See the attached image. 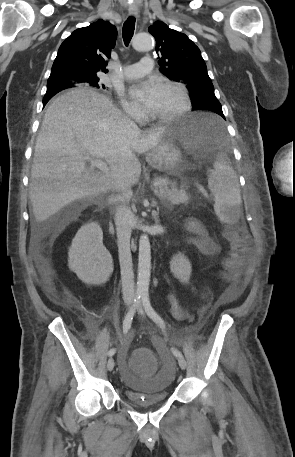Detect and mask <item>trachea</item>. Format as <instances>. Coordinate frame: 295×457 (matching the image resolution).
<instances>
[{"mask_svg": "<svg viewBox=\"0 0 295 457\" xmlns=\"http://www.w3.org/2000/svg\"><path fill=\"white\" fill-rule=\"evenodd\" d=\"M134 30H135V17L130 16L124 22L123 31H122L124 44L126 46H128V44L130 43V41L133 37V34H134Z\"/></svg>", "mask_w": 295, "mask_h": 457, "instance_id": "trachea-1", "label": "trachea"}]
</instances>
